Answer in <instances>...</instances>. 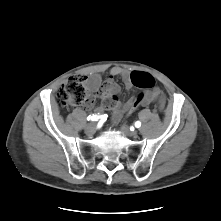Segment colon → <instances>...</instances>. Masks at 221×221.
Returning <instances> with one entry per match:
<instances>
[{"instance_id": "colon-1", "label": "colon", "mask_w": 221, "mask_h": 221, "mask_svg": "<svg viewBox=\"0 0 221 221\" xmlns=\"http://www.w3.org/2000/svg\"><path fill=\"white\" fill-rule=\"evenodd\" d=\"M132 82L135 86L142 89H150L154 86V79L151 75L133 73ZM144 97L141 92L136 96V103L139 104ZM57 101L61 107H68L86 103L92 104V100L88 98L85 85V79L82 76H73L69 78L59 89L57 93Z\"/></svg>"}]
</instances>
